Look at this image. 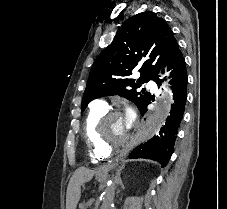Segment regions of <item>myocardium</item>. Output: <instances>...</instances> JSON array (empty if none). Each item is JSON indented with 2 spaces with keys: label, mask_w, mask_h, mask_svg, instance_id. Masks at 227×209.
<instances>
[{
  "label": "myocardium",
  "mask_w": 227,
  "mask_h": 209,
  "mask_svg": "<svg viewBox=\"0 0 227 209\" xmlns=\"http://www.w3.org/2000/svg\"><path fill=\"white\" fill-rule=\"evenodd\" d=\"M117 116H121L120 112L114 111V110H108L104 113V115H102V117H100V119L97 121L95 126V140L97 144L100 146V148L107 153H112L114 151L119 150L122 147H125L133 138V134L130 133V136L127 139L123 141L115 142V143H110L105 139L104 127L106 123L110 119Z\"/></svg>",
  "instance_id": "obj_1"
}]
</instances>
